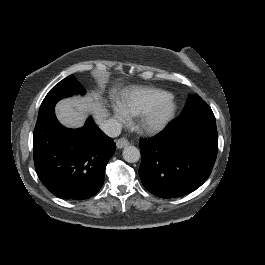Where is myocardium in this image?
<instances>
[{
	"label": "myocardium",
	"instance_id": "f54148a6",
	"mask_svg": "<svg viewBox=\"0 0 265 265\" xmlns=\"http://www.w3.org/2000/svg\"><path fill=\"white\" fill-rule=\"evenodd\" d=\"M160 96H166L169 99V104L165 109L156 111V102ZM177 109L178 102L175 96L168 91L160 90L155 94L150 103L140 112V122L138 127L146 132L156 131L174 116Z\"/></svg>",
	"mask_w": 265,
	"mask_h": 265
}]
</instances>
